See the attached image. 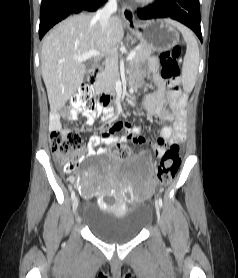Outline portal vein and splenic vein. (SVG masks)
<instances>
[{
	"instance_id": "obj_1",
	"label": "portal vein and splenic vein",
	"mask_w": 238,
	"mask_h": 278,
	"mask_svg": "<svg viewBox=\"0 0 238 278\" xmlns=\"http://www.w3.org/2000/svg\"><path fill=\"white\" fill-rule=\"evenodd\" d=\"M103 55L104 54H101L99 51L91 50V51H88L86 53H83L80 56H77L75 59L82 62V61H86V60H88L92 57L103 56ZM135 55H136V51L135 50L131 51L128 54L126 60L131 61L135 57Z\"/></svg>"
}]
</instances>
